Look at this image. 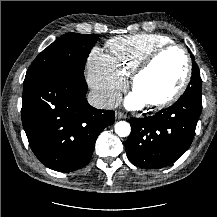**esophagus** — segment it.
Here are the masks:
<instances>
[{"instance_id": "obj_1", "label": "esophagus", "mask_w": 217, "mask_h": 217, "mask_svg": "<svg viewBox=\"0 0 217 217\" xmlns=\"http://www.w3.org/2000/svg\"><path fill=\"white\" fill-rule=\"evenodd\" d=\"M115 118L116 119H125L126 115L124 113L118 111L115 113Z\"/></svg>"}]
</instances>
